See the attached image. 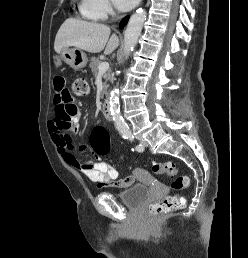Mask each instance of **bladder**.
I'll use <instances>...</instances> for the list:
<instances>
[{
	"instance_id": "31cf9c89",
	"label": "bladder",
	"mask_w": 248,
	"mask_h": 258,
	"mask_svg": "<svg viewBox=\"0 0 248 258\" xmlns=\"http://www.w3.org/2000/svg\"><path fill=\"white\" fill-rule=\"evenodd\" d=\"M149 195V189L144 184H135L119 193V200L130 209L139 208Z\"/></svg>"
}]
</instances>
